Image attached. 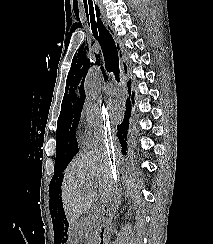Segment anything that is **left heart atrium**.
I'll return each mask as SVG.
<instances>
[{"instance_id": "left-heart-atrium-1", "label": "left heart atrium", "mask_w": 213, "mask_h": 244, "mask_svg": "<svg viewBox=\"0 0 213 244\" xmlns=\"http://www.w3.org/2000/svg\"><path fill=\"white\" fill-rule=\"evenodd\" d=\"M107 116L110 121L116 122L121 117L122 111L120 104L115 99H110L106 104Z\"/></svg>"}]
</instances>
